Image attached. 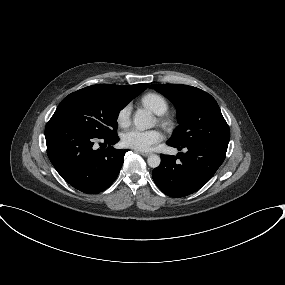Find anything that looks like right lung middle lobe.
Segmentation results:
<instances>
[{
	"mask_svg": "<svg viewBox=\"0 0 285 285\" xmlns=\"http://www.w3.org/2000/svg\"><path fill=\"white\" fill-rule=\"evenodd\" d=\"M129 101L115 95L80 89L65 97L52 118L69 121L97 138L117 135L119 111Z\"/></svg>",
	"mask_w": 285,
	"mask_h": 285,
	"instance_id": "dd1d6c3e",
	"label": "right lung middle lobe"
}]
</instances>
